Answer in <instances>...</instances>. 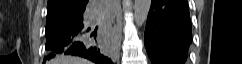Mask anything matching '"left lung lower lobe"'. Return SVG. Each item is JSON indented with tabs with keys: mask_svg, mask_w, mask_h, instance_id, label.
Returning a JSON list of instances; mask_svg holds the SVG:
<instances>
[{
	"mask_svg": "<svg viewBox=\"0 0 242 64\" xmlns=\"http://www.w3.org/2000/svg\"><path fill=\"white\" fill-rule=\"evenodd\" d=\"M191 41L187 0H151L144 33L151 64H184Z\"/></svg>",
	"mask_w": 242,
	"mask_h": 64,
	"instance_id": "0a47b994",
	"label": "left lung lower lobe"
}]
</instances>
